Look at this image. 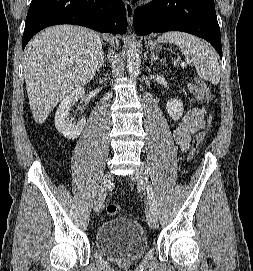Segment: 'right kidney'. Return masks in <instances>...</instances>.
Returning <instances> with one entry per match:
<instances>
[{
  "label": "right kidney",
  "instance_id": "right-kidney-1",
  "mask_svg": "<svg viewBox=\"0 0 253 271\" xmlns=\"http://www.w3.org/2000/svg\"><path fill=\"white\" fill-rule=\"evenodd\" d=\"M83 88H78L69 93L60 103L55 114V127L65 138L74 140L79 137L86 119L83 117L77 124L68 118L71 105L84 95Z\"/></svg>",
  "mask_w": 253,
  "mask_h": 271
}]
</instances>
